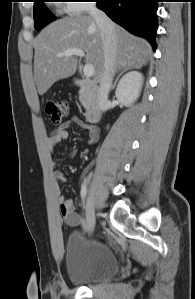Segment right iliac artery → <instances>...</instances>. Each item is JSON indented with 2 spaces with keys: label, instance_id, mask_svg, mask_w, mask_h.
<instances>
[{
  "label": "right iliac artery",
  "instance_id": "right-iliac-artery-1",
  "mask_svg": "<svg viewBox=\"0 0 195 299\" xmlns=\"http://www.w3.org/2000/svg\"><path fill=\"white\" fill-rule=\"evenodd\" d=\"M81 198H82V201L84 202L85 200V197H86V194H87V186H86V183H82L81 185Z\"/></svg>",
  "mask_w": 195,
  "mask_h": 299
}]
</instances>
